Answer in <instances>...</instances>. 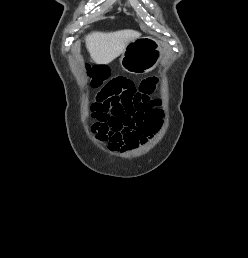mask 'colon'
<instances>
[{"label": "colon", "instance_id": "5ec220e1", "mask_svg": "<svg viewBox=\"0 0 248 258\" xmlns=\"http://www.w3.org/2000/svg\"><path fill=\"white\" fill-rule=\"evenodd\" d=\"M99 66H93L92 69H98ZM104 76L102 73H98L93 80L94 84L98 85L103 82ZM93 116L96 119L94 127L98 124L105 126L107 131L120 128L127 114H121L115 103L110 98H99V100L93 106Z\"/></svg>", "mask_w": 248, "mask_h": 258}]
</instances>
